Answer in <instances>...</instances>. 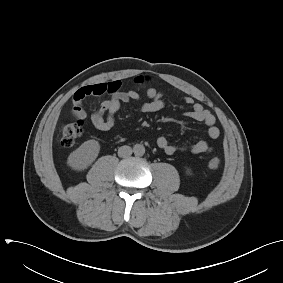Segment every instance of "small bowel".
Returning a JSON list of instances; mask_svg holds the SVG:
<instances>
[{"mask_svg": "<svg viewBox=\"0 0 283 283\" xmlns=\"http://www.w3.org/2000/svg\"><path fill=\"white\" fill-rule=\"evenodd\" d=\"M149 98L148 102L142 103L140 110L144 113H154L162 110L165 106L164 94L162 91L149 87L146 91ZM107 94L109 97L101 102L99 108L92 113L90 119L93 126L99 131H109L115 125V116L120 110L121 105L131 101H139L140 96L135 90H121V83L117 80L107 83H97L86 85L79 88L72 98L71 114L79 121L87 117L83 108V100L88 96H100ZM184 102L191 107L186 116L192 120L202 122L207 126L208 136L211 139L219 137V129L216 127V117L200 103L196 102L191 96H184ZM158 147L167 155H173L179 150L190 149L194 154H206L211 151L209 143L205 140H199L190 147H180L171 144L167 137L160 136L157 139Z\"/></svg>", "mask_w": 283, "mask_h": 283, "instance_id": "obj_1", "label": "small bowel"}]
</instances>
